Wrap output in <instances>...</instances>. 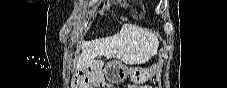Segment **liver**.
<instances>
[{
    "label": "liver",
    "instance_id": "obj_1",
    "mask_svg": "<svg viewBox=\"0 0 227 88\" xmlns=\"http://www.w3.org/2000/svg\"><path fill=\"white\" fill-rule=\"evenodd\" d=\"M159 46L157 37L140 27L124 24L113 36L82 41V53L77 57L76 69H85L98 56L117 58L130 65L145 63Z\"/></svg>",
    "mask_w": 227,
    "mask_h": 88
}]
</instances>
